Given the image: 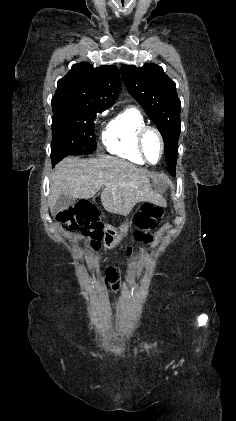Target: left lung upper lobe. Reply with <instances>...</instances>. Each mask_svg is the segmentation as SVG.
<instances>
[{
  "label": "left lung upper lobe",
  "instance_id": "1",
  "mask_svg": "<svg viewBox=\"0 0 236 421\" xmlns=\"http://www.w3.org/2000/svg\"><path fill=\"white\" fill-rule=\"evenodd\" d=\"M121 74L132 97L142 105L160 131L165 144L166 164L176 166L181 131V102L176 84L153 63L142 67L122 65Z\"/></svg>",
  "mask_w": 236,
  "mask_h": 421
}]
</instances>
